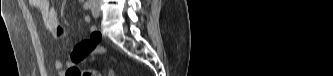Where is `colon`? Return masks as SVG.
I'll use <instances>...</instances> for the list:
<instances>
[{"label":"colon","instance_id":"1","mask_svg":"<svg viewBox=\"0 0 333 76\" xmlns=\"http://www.w3.org/2000/svg\"><path fill=\"white\" fill-rule=\"evenodd\" d=\"M101 76V73L98 70L92 69L88 71L81 70V76ZM109 76H114V71L110 70L108 73Z\"/></svg>","mask_w":333,"mask_h":76}]
</instances>
